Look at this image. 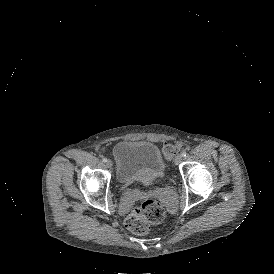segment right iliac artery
I'll use <instances>...</instances> for the list:
<instances>
[{
	"label": "right iliac artery",
	"instance_id": "obj_1",
	"mask_svg": "<svg viewBox=\"0 0 274 274\" xmlns=\"http://www.w3.org/2000/svg\"><path fill=\"white\" fill-rule=\"evenodd\" d=\"M102 161H103V162H107V158H103Z\"/></svg>",
	"mask_w": 274,
	"mask_h": 274
}]
</instances>
